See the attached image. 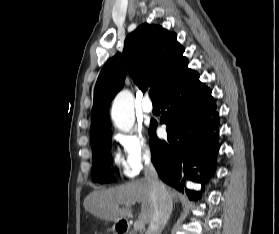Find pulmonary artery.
Listing matches in <instances>:
<instances>
[{"instance_id": "1", "label": "pulmonary artery", "mask_w": 279, "mask_h": 234, "mask_svg": "<svg viewBox=\"0 0 279 234\" xmlns=\"http://www.w3.org/2000/svg\"><path fill=\"white\" fill-rule=\"evenodd\" d=\"M143 112L150 114L153 112V105L148 97H146L142 103Z\"/></svg>"}]
</instances>
